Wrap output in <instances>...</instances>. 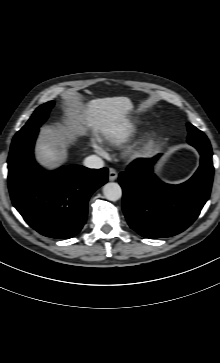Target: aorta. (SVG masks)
<instances>
[{
    "label": "aorta",
    "mask_w": 220,
    "mask_h": 363,
    "mask_svg": "<svg viewBox=\"0 0 220 363\" xmlns=\"http://www.w3.org/2000/svg\"><path fill=\"white\" fill-rule=\"evenodd\" d=\"M103 194L107 200L117 201L122 197V189L118 183L109 182L103 186Z\"/></svg>",
    "instance_id": "1"
}]
</instances>
